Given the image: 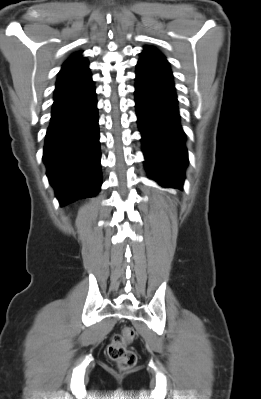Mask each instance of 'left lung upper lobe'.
<instances>
[{
  "label": "left lung upper lobe",
  "instance_id": "5c2ea615",
  "mask_svg": "<svg viewBox=\"0 0 261 399\" xmlns=\"http://www.w3.org/2000/svg\"><path fill=\"white\" fill-rule=\"evenodd\" d=\"M140 56V63L155 64L170 69L168 61L155 48L145 47Z\"/></svg>",
  "mask_w": 261,
  "mask_h": 399
}]
</instances>
